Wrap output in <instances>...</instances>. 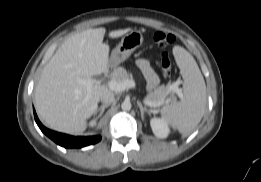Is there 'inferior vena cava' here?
I'll list each match as a JSON object with an SVG mask.
<instances>
[{"instance_id": "602c4592", "label": "inferior vena cava", "mask_w": 261, "mask_h": 182, "mask_svg": "<svg viewBox=\"0 0 261 182\" xmlns=\"http://www.w3.org/2000/svg\"><path fill=\"white\" fill-rule=\"evenodd\" d=\"M114 101H115V97L114 94L112 93L105 94L101 97V102L106 105H110Z\"/></svg>"}]
</instances>
